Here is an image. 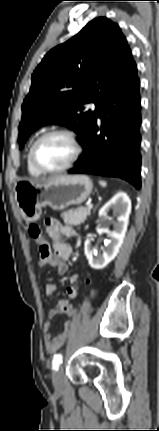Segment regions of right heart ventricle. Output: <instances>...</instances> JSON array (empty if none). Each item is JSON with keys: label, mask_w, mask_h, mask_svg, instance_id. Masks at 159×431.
<instances>
[{"label": "right heart ventricle", "mask_w": 159, "mask_h": 431, "mask_svg": "<svg viewBox=\"0 0 159 431\" xmlns=\"http://www.w3.org/2000/svg\"><path fill=\"white\" fill-rule=\"evenodd\" d=\"M30 148H31V146L29 147V149H28V151H27V155H26V165H27V170H28V173L30 174V175H32V176H34V177H39V176H41L42 175V173L41 172H39L33 165H32V163H31V160H30Z\"/></svg>", "instance_id": "e07e8e85"}]
</instances>
